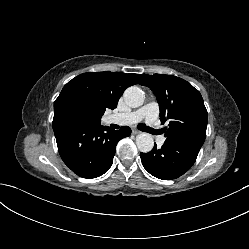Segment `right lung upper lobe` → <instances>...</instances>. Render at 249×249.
<instances>
[{
  "label": "right lung upper lobe",
  "mask_w": 249,
  "mask_h": 249,
  "mask_svg": "<svg viewBox=\"0 0 249 249\" xmlns=\"http://www.w3.org/2000/svg\"><path fill=\"white\" fill-rule=\"evenodd\" d=\"M145 74L118 72H88L69 81L54 102L55 107L66 98H79L89 107V122L86 126H98L106 109H115L124 90L142 83ZM56 120H53L55 122Z\"/></svg>",
  "instance_id": "obj_1"
}]
</instances>
